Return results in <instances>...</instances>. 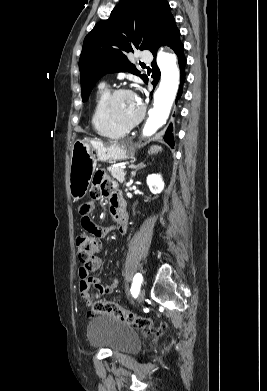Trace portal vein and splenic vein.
I'll return each mask as SVG.
<instances>
[{"label":"portal vein and splenic vein","mask_w":267,"mask_h":391,"mask_svg":"<svg viewBox=\"0 0 267 391\" xmlns=\"http://www.w3.org/2000/svg\"><path fill=\"white\" fill-rule=\"evenodd\" d=\"M121 168L125 169V168H126V166H121Z\"/></svg>","instance_id":"portal-vein-and-splenic-vein-1"}]
</instances>
